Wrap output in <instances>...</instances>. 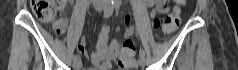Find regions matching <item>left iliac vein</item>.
<instances>
[{
  "mask_svg": "<svg viewBox=\"0 0 238 70\" xmlns=\"http://www.w3.org/2000/svg\"><path fill=\"white\" fill-rule=\"evenodd\" d=\"M145 63H146L145 57H140V58H139V61H138L139 66H140V67H144V66H145Z\"/></svg>",
  "mask_w": 238,
  "mask_h": 70,
  "instance_id": "1",
  "label": "left iliac vein"
}]
</instances>
